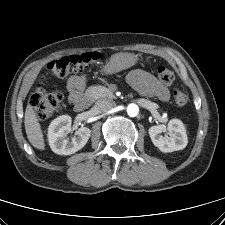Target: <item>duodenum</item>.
Here are the masks:
<instances>
[{"label": "duodenum", "mask_w": 225, "mask_h": 225, "mask_svg": "<svg viewBox=\"0 0 225 225\" xmlns=\"http://www.w3.org/2000/svg\"><path fill=\"white\" fill-rule=\"evenodd\" d=\"M92 102V98L88 95L82 96L75 104L74 108L77 112L83 113L88 110Z\"/></svg>", "instance_id": "obj_1"}]
</instances>
